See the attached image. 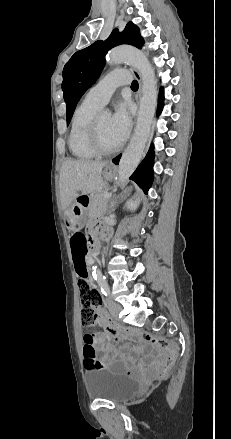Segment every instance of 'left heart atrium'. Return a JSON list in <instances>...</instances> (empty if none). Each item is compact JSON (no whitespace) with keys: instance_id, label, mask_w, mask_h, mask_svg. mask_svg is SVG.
Returning <instances> with one entry per match:
<instances>
[{"instance_id":"39dd6f15","label":"left heart atrium","mask_w":231,"mask_h":439,"mask_svg":"<svg viewBox=\"0 0 231 439\" xmlns=\"http://www.w3.org/2000/svg\"><path fill=\"white\" fill-rule=\"evenodd\" d=\"M111 131L117 145L122 144L129 135L132 121L125 103L117 106L114 114L111 116Z\"/></svg>"}]
</instances>
